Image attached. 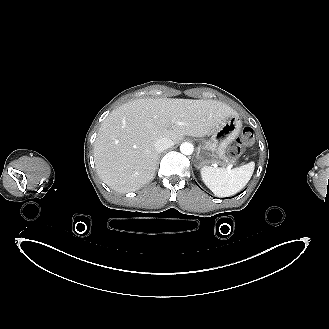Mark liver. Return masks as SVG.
Returning <instances> with one entry per match:
<instances>
[{
    "label": "liver",
    "mask_w": 329,
    "mask_h": 329,
    "mask_svg": "<svg viewBox=\"0 0 329 329\" xmlns=\"http://www.w3.org/2000/svg\"><path fill=\"white\" fill-rule=\"evenodd\" d=\"M237 112L218 100L137 99L113 110L102 122L94 146L100 179L118 192L150 182L157 167L155 142L167 137H202Z\"/></svg>",
    "instance_id": "6515ba94"
}]
</instances>
